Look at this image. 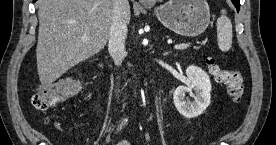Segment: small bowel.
<instances>
[{"instance_id":"1","label":"small bowel","mask_w":276,"mask_h":145,"mask_svg":"<svg viewBox=\"0 0 276 145\" xmlns=\"http://www.w3.org/2000/svg\"><path fill=\"white\" fill-rule=\"evenodd\" d=\"M119 145H130L127 141H122L119 143Z\"/></svg>"}]
</instances>
